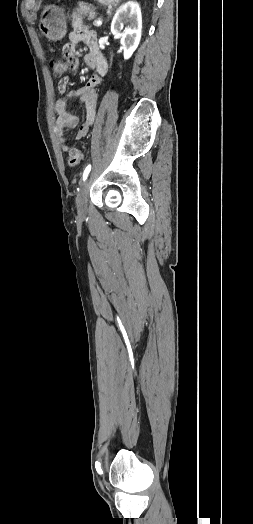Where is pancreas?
<instances>
[{"label":"pancreas","mask_w":253,"mask_h":524,"mask_svg":"<svg viewBox=\"0 0 253 524\" xmlns=\"http://www.w3.org/2000/svg\"><path fill=\"white\" fill-rule=\"evenodd\" d=\"M95 8L91 7L88 3L79 2L77 7L73 10L72 18L73 19H83L87 15H94Z\"/></svg>","instance_id":"obj_1"}]
</instances>
